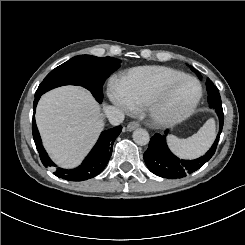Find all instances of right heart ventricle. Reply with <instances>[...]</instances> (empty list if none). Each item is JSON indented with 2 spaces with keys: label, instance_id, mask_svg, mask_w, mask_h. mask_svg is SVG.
<instances>
[{
  "label": "right heart ventricle",
  "instance_id": "right-heart-ventricle-1",
  "mask_svg": "<svg viewBox=\"0 0 245 245\" xmlns=\"http://www.w3.org/2000/svg\"><path fill=\"white\" fill-rule=\"evenodd\" d=\"M182 76L185 74L167 67H142L132 70L126 80L114 87V91L128 107L137 108L144 105L146 96L155 83Z\"/></svg>",
  "mask_w": 245,
  "mask_h": 245
}]
</instances>
